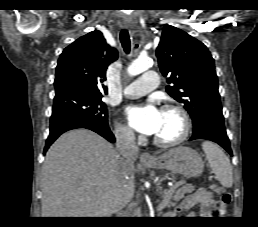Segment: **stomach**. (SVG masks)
Returning a JSON list of instances; mask_svg holds the SVG:
<instances>
[{
	"label": "stomach",
	"instance_id": "1",
	"mask_svg": "<svg viewBox=\"0 0 258 227\" xmlns=\"http://www.w3.org/2000/svg\"><path fill=\"white\" fill-rule=\"evenodd\" d=\"M148 168L169 170L188 178L199 176L204 169V162L197 151L185 146H178L155 157L145 165Z\"/></svg>",
	"mask_w": 258,
	"mask_h": 227
}]
</instances>
